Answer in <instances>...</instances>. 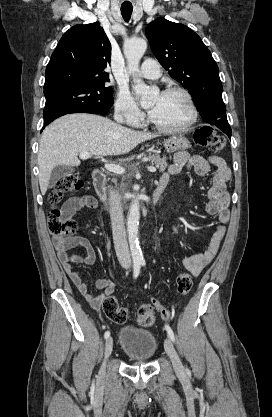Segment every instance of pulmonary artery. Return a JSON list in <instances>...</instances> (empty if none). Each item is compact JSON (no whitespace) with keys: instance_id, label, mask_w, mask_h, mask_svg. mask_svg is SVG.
<instances>
[{"instance_id":"e3ab8cb5","label":"pulmonary artery","mask_w":272,"mask_h":417,"mask_svg":"<svg viewBox=\"0 0 272 417\" xmlns=\"http://www.w3.org/2000/svg\"><path fill=\"white\" fill-rule=\"evenodd\" d=\"M139 75L146 79H158L161 76L160 66L154 59H146L140 69Z\"/></svg>"}]
</instances>
